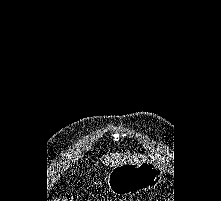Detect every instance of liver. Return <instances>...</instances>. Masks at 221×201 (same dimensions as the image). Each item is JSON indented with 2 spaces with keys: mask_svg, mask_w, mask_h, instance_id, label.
<instances>
[{
  "mask_svg": "<svg viewBox=\"0 0 221 201\" xmlns=\"http://www.w3.org/2000/svg\"><path fill=\"white\" fill-rule=\"evenodd\" d=\"M140 155L137 154H119L115 153L110 156L105 157L104 163L110 166H116L120 164H125L127 162H138Z\"/></svg>",
  "mask_w": 221,
  "mask_h": 201,
  "instance_id": "obj_1",
  "label": "liver"
}]
</instances>
